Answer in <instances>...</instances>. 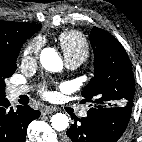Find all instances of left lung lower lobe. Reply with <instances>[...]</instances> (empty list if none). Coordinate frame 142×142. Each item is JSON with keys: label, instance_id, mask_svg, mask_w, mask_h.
<instances>
[{"label": "left lung lower lobe", "instance_id": "obj_1", "mask_svg": "<svg viewBox=\"0 0 142 142\" xmlns=\"http://www.w3.org/2000/svg\"><path fill=\"white\" fill-rule=\"evenodd\" d=\"M131 112V106L91 108L87 117L71 124L64 142H116L127 128Z\"/></svg>", "mask_w": 142, "mask_h": 142}]
</instances>
